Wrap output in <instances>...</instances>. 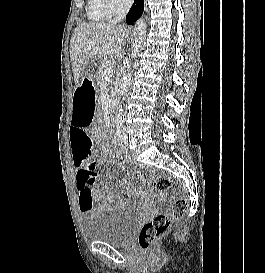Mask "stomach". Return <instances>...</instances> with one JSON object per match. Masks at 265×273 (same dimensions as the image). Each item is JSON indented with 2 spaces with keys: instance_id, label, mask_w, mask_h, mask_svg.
Listing matches in <instances>:
<instances>
[{
  "instance_id": "stomach-1",
  "label": "stomach",
  "mask_w": 265,
  "mask_h": 273,
  "mask_svg": "<svg viewBox=\"0 0 265 273\" xmlns=\"http://www.w3.org/2000/svg\"><path fill=\"white\" fill-rule=\"evenodd\" d=\"M94 76L92 73H86V75L82 78L81 84L76 85V90H96V85H93Z\"/></svg>"
}]
</instances>
